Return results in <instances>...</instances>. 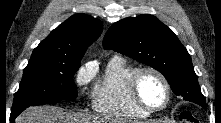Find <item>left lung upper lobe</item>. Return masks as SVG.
I'll use <instances>...</instances> for the list:
<instances>
[{"mask_svg":"<svg viewBox=\"0 0 221 123\" xmlns=\"http://www.w3.org/2000/svg\"><path fill=\"white\" fill-rule=\"evenodd\" d=\"M103 46L158 70L177 96L206 107L187 49L153 15L143 14L114 23L104 37Z\"/></svg>","mask_w":221,"mask_h":123,"instance_id":"5c2ea615","label":"left lung upper lobe"}]
</instances>
